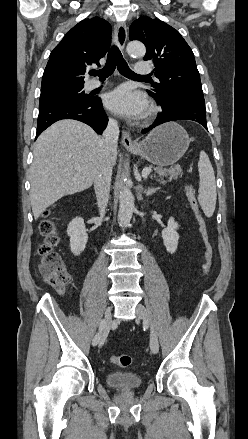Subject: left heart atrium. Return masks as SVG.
Wrapping results in <instances>:
<instances>
[{"mask_svg": "<svg viewBox=\"0 0 248 439\" xmlns=\"http://www.w3.org/2000/svg\"><path fill=\"white\" fill-rule=\"evenodd\" d=\"M106 107L113 113L127 119H139L147 111L146 98L128 85H122L105 97Z\"/></svg>", "mask_w": 248, "mask_h": 439, "instance_id": "obj_1", "label": "left heart atrium"}]
</instances>
